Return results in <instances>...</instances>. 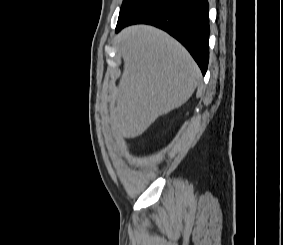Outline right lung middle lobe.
Returning <instances> with one entry per match:
<instances>
[{"label": "right lung middle lobe", "instance_id": "1", "mask_svg": "<svg viewBox=\"0 0 283 245\" xmlns=\"http://www.w3.org/2000/svg\"><path fill=\"white\" fill-rule=\"evenodd\" d=\"M149 0H123V4L120 9L118 23L125 21L130 17L136 10L146 4Z\"/></svg>", "mask_w": 283, "mask_h": 245}]
</instances>
